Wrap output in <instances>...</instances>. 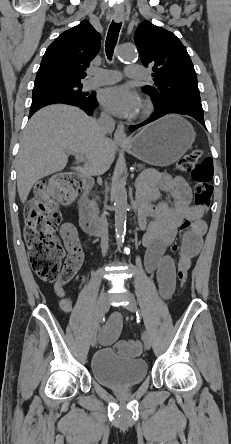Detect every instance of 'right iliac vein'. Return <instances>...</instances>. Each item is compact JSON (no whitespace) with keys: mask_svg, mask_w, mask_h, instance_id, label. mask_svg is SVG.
Segmentation results:
<instances>
[{"mask_svg":"<svg viewBox=\"0 0 231 444\" xmlns=\"http://www.w3.org/2000/svg\"><path fill=\"white\" fill-rule=\"evenodd\" d=\"M108 310V300L106 298L105 295L102 296L101 299V303L99 306V311H98V316H97V320L94 324V327L92 329V333H91V345L94 347L97 343V330H98V324L99 322L102 320V318L104 317L105 313Z\"/></svg>","mask_w":231,"mask_h":444,"instance_id":"right-iliac-vein-1","label":"right iliac vein"}]
</instances>
